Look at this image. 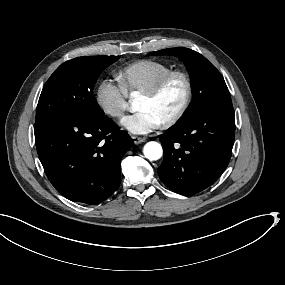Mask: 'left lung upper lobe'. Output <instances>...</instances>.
Instances as JSON below:
<instances>
[{"mask_svg": "<svg viewBox=\"0 0 285 285\" xmlns=\"http://www.w3.org/2000/svg\"><path fill=\"white\" fill-rule=\"evenodd\" d=\"M149 55L177 56L184 61L190 73L194 96L179 121L195 117L208 109H233L230 93L223 76L200 53L178 47L151 52Z\"/></svg>", "mask_w": 285, "mask_h": 285, "instance_id": "1", "label": "left lung upper lobe"}]
</instances>
